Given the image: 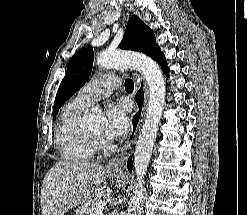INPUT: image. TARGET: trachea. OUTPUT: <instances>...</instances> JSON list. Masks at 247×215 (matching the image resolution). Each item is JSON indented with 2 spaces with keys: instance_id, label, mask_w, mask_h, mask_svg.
<instances>
[{
  "instance_id": "obj_1",
  "label": "trachea",
  "mask_w": 247,
  "mask_h": 215,
  "mask_svg": "<svg viewBox=\"0 0 247 215\" xmlns=\"http://www.w3.org/2000/svg\"><path fill=\"white\" fill-rule=\"evenodd\" d=\"M133 89H134L133 81L131 79H126V81H125V90L131 92V91H133Z\"/></svg>"
}]
</instances>
